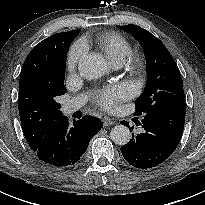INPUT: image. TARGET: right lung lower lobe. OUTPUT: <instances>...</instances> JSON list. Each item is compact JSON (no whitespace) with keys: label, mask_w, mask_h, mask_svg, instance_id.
Listing matches in <instances>:
<instances>
[{"label":"right lung lower lobe","mask_w":205,"mask_h":205,"mask_svg":"<svg viewBox=\"0 0 205 205\" xmlns=\"http://www.w3.org/2000/svg\"><path fill=\"white\" fill-rule=\"evenodd\" d=\"M101 121L84 116L69 125L63 117L42 139L34 152L38 158L53 167H70L86 151L91 138L100 131Z\"/></svg>","instance_id":"obj_1"}]
</instances>
